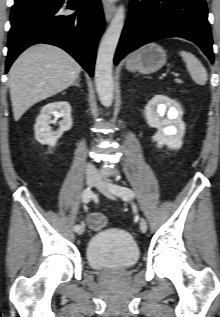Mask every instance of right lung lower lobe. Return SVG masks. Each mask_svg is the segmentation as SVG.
I'll use <instances>...</instances> for the list:
<instances>
[{
    "label": "right lung lower lobe",
    "mask_w": 220,
    "mask_h": 317,
    "mask_svg": "<svg viewBox=\"0 0 220 317\" xmlns=\"http://www.w3.org/2000/svg\"><path fill=\"white\" fill-rule=\"evenodd\" d=\"M77 10L66 14V10ZM6 72L27 47L37 43L58 46L93 76L97 43L104 29L100 0H15L11 11Z\"/></svg>",
    "instance_id": "98d812e1"
}]
</instances>
